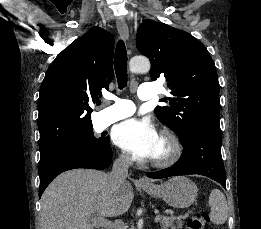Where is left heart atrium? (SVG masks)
I'll list each match as a JSON object with an SVG mask.
<instances>
[{"mask_svg":"<svg viewBox=\"0 0 261 229\" xmlns=\"http://www.w3.org/2000/svg\"><path fill=\"white\" fill-rule=\"evenodd\" d=\"M114 141L132 152L135 157L150 159L157 150L160 137L150 121L129 119L117 126Z\"/></svg>","mask_w":261,"mask_h":229,"instance_id":"left-heart-atrium-1","label":"left heart atrium"}]
</instances>
